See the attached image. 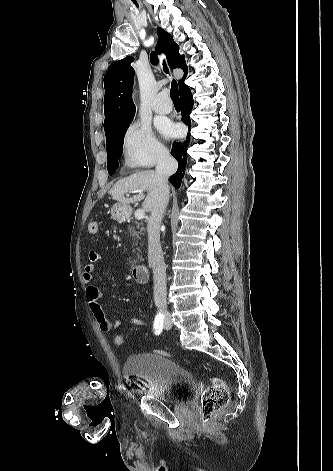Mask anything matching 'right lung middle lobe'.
Segmentation results:
<instances>
[{"label":"right lung middle lobe","mask_w":333,"mask_h":471,"mask_svg":"<svg viewBox=\"0 0 333 471\" xmlns=\"http://www.w3.org/2000/svg\"><path fill=\"white\" fill-rule=\"evenodd\" d=\"M132 119L121 122L105 131L107 149V169L110 175H112L119 166L117 161L122 154L124 135L130 123L132 122Z\"/></svg>","instance_id":"right-lung-middle-lobe-1"}]
</instances>
